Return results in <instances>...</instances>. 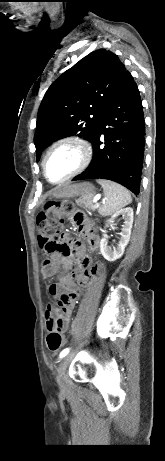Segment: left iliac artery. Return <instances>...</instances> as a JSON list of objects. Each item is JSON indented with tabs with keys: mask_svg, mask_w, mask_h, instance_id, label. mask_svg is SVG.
Masks as SVG:
<instances>
[{
	"mask_svg": "<svg viewBox=\"0 0 165 461\" xmlns=\"http://www.w3.org/2000/svg\"><path fill=\"white\" fill-rule=\"evenodd\" d=\"M68 352H69V349H68V348L64 349V350L60 353V357H61V358L65 357V356L68 354Z\"/></svg>",
	"mask_w": 165,
	"mask_h": 461,
	"instance_id": "1",
	"label": "left iliac artery"
}]
</instances>
